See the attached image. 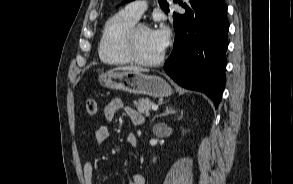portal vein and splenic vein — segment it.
Instances as JSON below:
<instances>
[{
    "label": "portal vein and splenic vein",
    "mask_w": 293,
    "mask_h": 184,
    "mask_svg": "<svg viewBox=\"0 0 293 184\" xmlns=\"http://www.w3.org/2000/svg\"><path fill=\"white\" fill-rule=\"evenodd\" d=\"M151 109H152L153 111H157V110H158V106H157V105H152Z\"/></svg>",
    "instance_id": "1"
}]
</instances>
